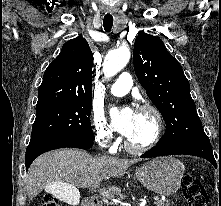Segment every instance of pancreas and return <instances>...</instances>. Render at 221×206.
Here are the masks:
<instances>
[{
  "mask_svg": "<svg viewBox=\"0 0 221 206\" xmlns=\"http://www.w3.org/2000/svg\"><path fill=\"white\" fill-rule=\"evenodd\" d=\"M156 206H170L169 201H157Z\"/></svg>",
  "mask_w": 221,
  "mask_h": 206,
  "instance_id": "obj_1",
  "label": "pancreas"
}]
</instances>
